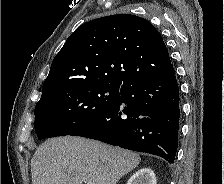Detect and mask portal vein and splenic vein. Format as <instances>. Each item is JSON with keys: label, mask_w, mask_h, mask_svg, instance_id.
I'll list each match as a JSON object with an SVG mask.
<instances>
[{"label": "portal vein and splenic vein", "mask_w": 224, "mask_h": 184, "mask_svg": "<svg viewBox=\"0 0 224 184\" xmlns=\"http://www.w3.org/2000/svg\"><path fill=\"white\" fill-rule=\"evenodd\" d=\"M86 184H94L93 182H87Z\"/></svg>", "instance_id": "portal-vein-and-splenic-vein-1"}]
</instances>
